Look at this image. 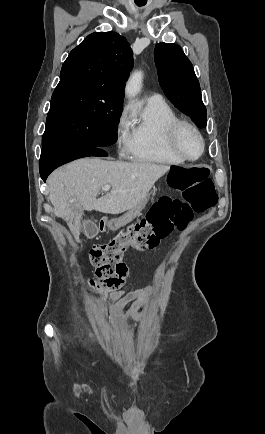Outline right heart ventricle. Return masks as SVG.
<instances>
[{"instance_id": "1", "label": "right heart ventricle", "mask_w": 265, "mask_h": 434, "mask_svg": "<svg viewBox=\"0 0 265 434\" xmlns=\"http://www.w3.org/2000/svg\"><path fill=\"white\" fill-rule=\"evenodd\" d=\"M136 74H140L137 72ZM178 116L163 99L147 100L132 115L129 158L137 163L180 166L184 162L172 150L169 136Z\"/></svg>"}]
</instances>
